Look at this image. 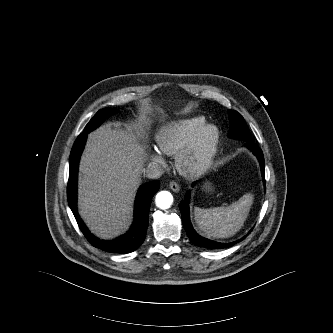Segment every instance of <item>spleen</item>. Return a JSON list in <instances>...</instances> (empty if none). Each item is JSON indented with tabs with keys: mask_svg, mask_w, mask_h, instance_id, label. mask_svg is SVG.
I'll use <instances>...</instances> for the list:
<instances>
[{
	"mask_svg": "<svg viewBox=\"0 0 333 333\" xmlns=\"http://www.w3.org/2000/svg\"><path fill=\"white\" fill-rule=\"evenodd\" d=\"M253 195H243L229 206L194 208V219L202 235L213 238H228L235 235L244 225Z\"/></svg>",
	"mask_w": 333,
	"mask_h": 333,
	"instance_id": "3e777b00",
	"label": "spleen"
}]
</instances>
